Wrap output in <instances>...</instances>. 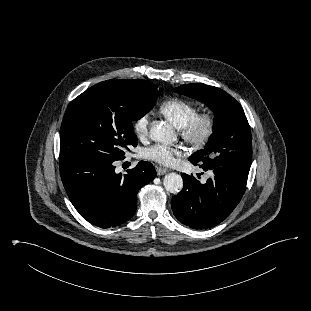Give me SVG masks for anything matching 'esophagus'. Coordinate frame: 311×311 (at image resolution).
<instances>
[{"mask_svg": "<svg viewBox=\"0 0 311 311\" xmlns=\"http://www.w3.org/2000/svg\"><path fill=\"white\" fill-rule=\"evenodd\" d=\"M157 171V175H164L168 172L167 168H163V167H157L156 168Z\"/></svg>", "mask_w": 311, "mask_h": 311, "instance_id": "34e87169", "label": "esophagus"}]
</instances>
